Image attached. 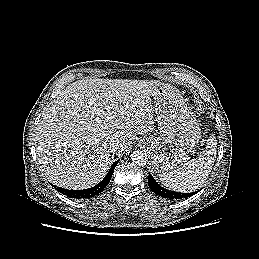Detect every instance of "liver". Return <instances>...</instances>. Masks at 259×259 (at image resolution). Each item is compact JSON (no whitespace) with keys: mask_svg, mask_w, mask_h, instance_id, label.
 <instances>
[{"mask_svg":"<svg viewBox=\"0 0 259 259\" xmlns=\"http://www.w3.org/2000/svg\"><path fill=\"white\" fill-rule=\"evenodd\" d=\"M156 80L85 79L73 82L42 114L35 143L40 169L54 185L86 189L107 174L115 155L136 135L155 130L151 97ZM119 143L117 151L112 144Z\"/></svg>","mask_w":259,"mask_h":259,"instance_id":"obj_1","label":"liver"}]
</instances>
